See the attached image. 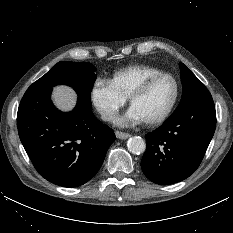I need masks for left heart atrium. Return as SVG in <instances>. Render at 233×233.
<instances>
[{
    "mask_svg": "<svg viewBox=\"0 0 233 233\" xmlns=\"http://www.w3.org/2000/svg\"><path fill=\"white\" fill-rule=\"evenodd\" d=\"M142 121H144L142 116L131 106L125 116L120 120V123H139Z\"/></svg>",
    "mask_w": 233,
    "mask_h": 233,
    "instance_id": "left-heart-atrium-1",
    "label": "left heart atrium"
}]
</instances>
